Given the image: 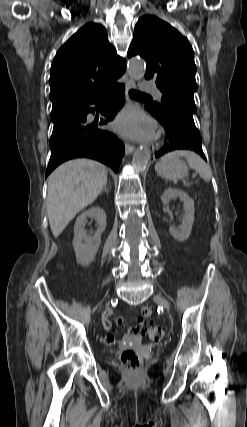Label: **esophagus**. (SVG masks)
I'll list each match as a JSON object with an SVG mask.
<instances>
[{
	"instance_id": "esophagus-1",
	"label": "esophagus",
	"mask_w": 247,
	"mask_h": 427,
	"mask_svg": "<svg viewBox=\"0 0 247 427\" xmlns=\"http://www.w3.org/2000/svg\"><path fill=\"white\" fill-rule=\"evenodd\" d=\"M136 87L134 80L132 79H128L127 83H126V98L129 100V94L128 92L131 89H134ZM125 150H126V154L129 155L131 154L134 150H135V146L126 143L125 144Z\"/></svg>"
}]
</instances>
